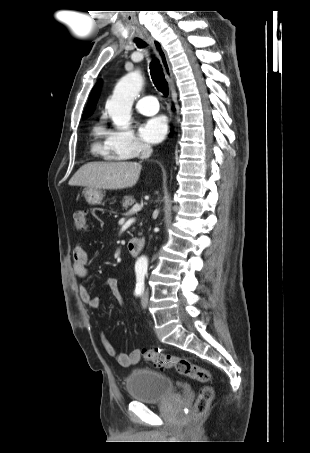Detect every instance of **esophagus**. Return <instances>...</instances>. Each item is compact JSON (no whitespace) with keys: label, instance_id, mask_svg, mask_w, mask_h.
<instances>
[{"label":"esophagus","instance_id":"esophagus-1","mask_svg":"<svg viewBox=\"0 0 310 453\" xmlns=\"http://www.w3.org/2000/svg\"><path fill=\"white\" fill-rule=\"evenodd\" d=\"M147 41L149 42V44L152 45V47L154 48L156 54L158 55V58H159V60L161 62V65L163 67L166 79H167V81H168V83L170 85L171 90H173V88H174V78H173L172 69H171V66H170L166 51L164 50V48H163V46H162L160 41H158V40H156V39H154L152 37H148Z\"/></svg>","mask_w":310,"mask_h":453}]
</instances>
